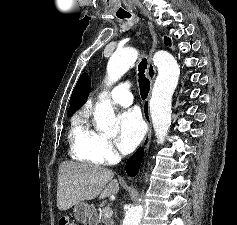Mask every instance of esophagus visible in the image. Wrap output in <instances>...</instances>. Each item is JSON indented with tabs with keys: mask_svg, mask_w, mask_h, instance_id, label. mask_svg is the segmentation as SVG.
<instances>
[{
	"mask_svg": "<svg viewBox=\"0 0 237 225\" xmlns=\"http://www.w3.org/2000/svg\"><path fill=\"white\" fill-rule=\"evenodd\" d=\"M148 24V28L152 37V45L150 48V52H149V65H148V78L150 80V85H151V89L153 87L155 78H156V67L153 63V53L155 52L156 48H157V44H158V38H157V34L154 30L153 24L151 21L147 22ZM149 101H150V93L148 95V97L146 98V100L143 103V107H142V112H143V117L144 120L147 124V133L144 136V139L141 143V147L144 150H147L149 145H150V141H151V134H152V124H151V117H150V110H149Z\"/></svg>",
	"mask_w": 237,
	"mask_h": 225,
	"instance_id": "esophagus-1",
	"label": "esophagus"
}]
</instances>
